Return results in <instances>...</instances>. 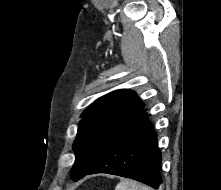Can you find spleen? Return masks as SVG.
<instances>
[{
  "instance_id": "1",
  "label": "spleen",
  "mask_w": 221,
  "mask_h": 190,
  "mask_svg": "<svg viewBox=\"0 0 221 190\" xmlns=\"http://www.w3.org/2000/svg\"><path fill=\"white\" fill-rule=\"evenodd\" d=\"M115 190H152V189L134 181L123 180L117 184Z\"/></svg>"
}]
</instances>
